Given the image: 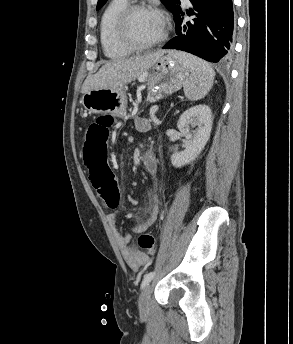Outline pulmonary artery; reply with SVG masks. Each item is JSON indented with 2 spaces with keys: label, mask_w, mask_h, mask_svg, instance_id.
<instances>
[{
  "label": "pulmonary artery",
  "mask_w": 293,
  "mask_h": 344,
  "mask_svg": "<svg viewBox=\"0 0 293 344\" xmlns=\"http://www.w3.org/2000/svg\"><path fill=\"white\" fill-rule=\"evenodd\" d=\"M184 4H188L189 0H181Z\"/></svg>",
  "instance_id": "pulmonary-artery-1"
}]
</instances>
